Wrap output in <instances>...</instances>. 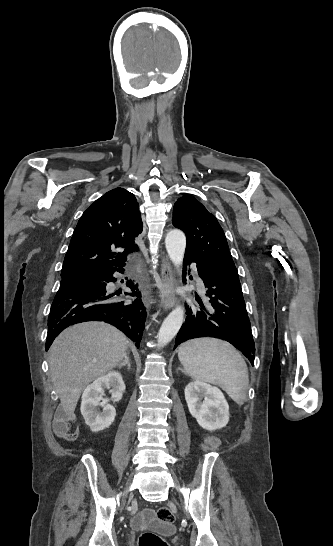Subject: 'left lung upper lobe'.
Returning a JSON list of instances; mask_svg holds the SVG:
<instances>
[{
	"mask_svg": "<svg viewBox=\"0 0 333 546\" xmlns=\"http://www.w3.org/2000/svg\"><path fill=\"white\" fill-rule=\"evenodd\" d=\"M172 222L186 235V251L214 270L237 272L223 229L197 199L191 195L179 198L174 205Z\"/></svg>",
	"mask_w": 333,
	"mask_h": 546,
	"instance_id": "obj_1",
	"label": "left lung upper lobe"
}]
</instances>
